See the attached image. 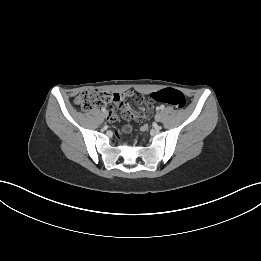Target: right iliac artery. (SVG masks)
Instances as JSON below:
<instances>
[{"instance_id": "obj_1", "label": "right iliac artery", "mask_w": 261, "mask_h": 261, "mask_svg": "<svg viewBox=\"0 0 261 261\" xmlns=\"http://www.w3.org/2000/svg\"><path fill=\"white\" fill-rule=\"evenodd\" d=\"M101 110H102L103 112H105V111H106V109H105L104 107H102V108H101Z\"/></svg>"}]
</instances>
